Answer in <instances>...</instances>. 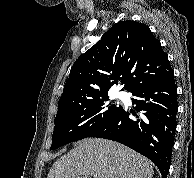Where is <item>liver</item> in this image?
<instances>
[{
  "mask_svg": "<svg viewBox=\"0 0 194 178\" xmlns=\"http://www.w3.org/2000/svg\"><path fill=\"white\" fill-rule=\"evenodd\" d=\"M153 164L132 149L106 139L88 138L60 157L47 178H152Z\"/></svg>",
  "mask_w": 194,
  "mask_h": 178,
  "instance_id": "obj_1",
  "label": "liver"
}]
</instances>
